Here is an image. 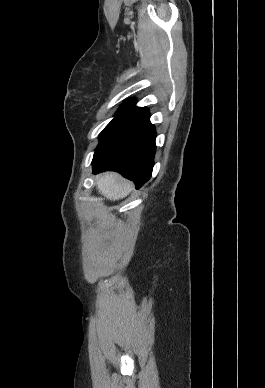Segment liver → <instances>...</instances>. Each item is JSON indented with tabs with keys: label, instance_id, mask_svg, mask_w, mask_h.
<instances>
[{
	"label": "liver",
	"instance_id": "6515ba94",
	"mask_svg": "<svg viewBox=\"0 0 265 388\" xmlns=\"http://www.w3.org/2000/svg\"><path fill=\"white\" fill-rule=\"evenodd\" d=\"M97 190L101 196H105L106 200H122L126 198L133 190L132 182L123 180L119 174L109 172L103 176L96 178Z\"/></svg>",
	"mask_w": 265,
	"mask_h": 388
}]
</instances>
